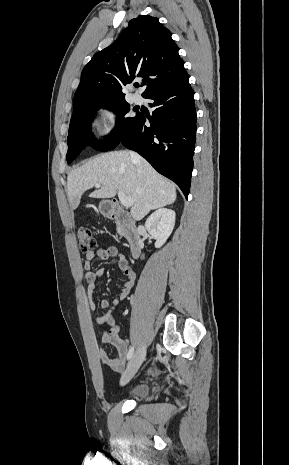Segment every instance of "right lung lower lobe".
<instances>
[{"mask_svg":"<svg viewBox=\"0 0 289 465\" xmlns=\"http://www.w3.org/2000/svg\"><path fill=\"white\" fill-rule=\"evenodd\" d=\"M152 117L140 114L120 141L138 152L156 171L174 181L188 197L193 170L196 110L189 79L149 94ZM149 121L151 126L145 125Z\"/></svg>","mask_w":289,"mask_h":465,"instance_id":"obj_1","label":"right lung lower lobe"}]
</instances>
